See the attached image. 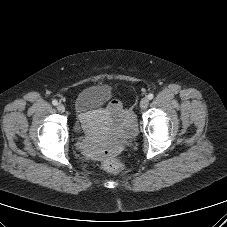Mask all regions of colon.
<instances>
[{"label": "colon", "instance_id": "1", "mask_svg": "<svg viewBox=\"0 0 227 227\" xmlns=\"http://www.w3.org/2000/svg\"><path fill=\"white\" fill-rule=\"evenodd\" d=\"M102 166L105 170L113 173H119L123 170L124 165L119 160L113 158L111 154L107 153Z\"/></svg>", "mask_w": 227, "mask_h": 227}]
</instances>
